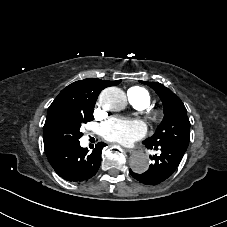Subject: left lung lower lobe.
I'll return each instance as SVG.
<instances>
[{
    "label": "left lung lower lobe",
    "instance_id": "1",
    "mask_svg": "<svg viewBox=\"0 0 227 227\" xmlns=\"http://www.w3.org/2000/svg\"><path fill=\"white\" fill-rule=\"evenodd\" d=\"M144 144L148 149L158 150L159 155H155V163L151 164L146 172L136 174L130 170V173L136 180L144 184L157 185L173 174L180 164L186 150L167 143Z\"/></svg>",
    "mask_w": 227,
    "mask_h": 227
}]
</instances>
